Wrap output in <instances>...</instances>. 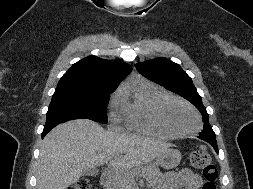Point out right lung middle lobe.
I'll list each match as a JSON object with an SVG mask.
<instances>
[{"instance_id": "right-lung-middle-lobe-1", "label": "right lung middle lobe", "mask_w": 253, "mask_h": 189, "mask_svg": "<svg viewBox=\"0 0 253 189\" xmlns=\"http://www.w3.org/2000/svg\"><path fill=\"white\" fill-rule=\"evenodd\" d=\"M110 88H59L56 89L47 112L46 124L72 119H90L107 123L106 108Z\"/></svg>"}]
</instances>
